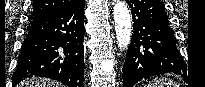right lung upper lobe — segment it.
Masks as SVG:
<instances>
[{
    "label": "right lung upper lobe",
    "instance_id": "1",
    "mask_svg": "<svg viewBox=\"0 0 205 87\" xmlns=\"http://www.w3.org/2000/svg\"><path fill=\"white\" fill-rule=\"evenodd\" d=\"M79 0H33V18L61 11Z\"/></svg>",
    "mask_w": 205,
    "mask_h": 87
}]
</instances>
